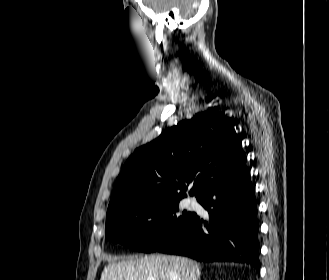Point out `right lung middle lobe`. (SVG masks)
<instances>
[{"label":"right lung middle lobe","instance_id":"1","mask_svg":"<svg viewBox=\"0 0 329 280\" xmlns=\"http://www.w3.org/2000/svg\"><path fill=\"white\" fill-rule=\"evenodd\" d=\"M179 196H148L107 210L106 238L131 250L154 252L176 237L196 213Z\"/></svg>","mask_w":329,"mask_h":280}]
</instances>
